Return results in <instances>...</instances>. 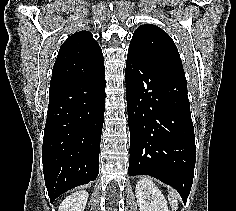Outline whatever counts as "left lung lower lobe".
Here are the masks:
<instances>
[{
    "instance_id": "0a47b994",
    "label": "left lung lower lobe",
    "mask_w": 236,
    "mask_h": 211,
    "mask_svg": "<svg viewBox=\"0 0 236 211\" xmlns=\"http://www.w3.org/2000/svg\"><path fill=\"white\" fill-rule=\"evenodd\" d=\"M130 176L149 175L174 187L184 203L196 160L186 78L127 56Z\"/></svg>"
}]
</instances>
